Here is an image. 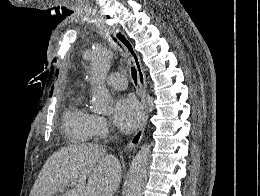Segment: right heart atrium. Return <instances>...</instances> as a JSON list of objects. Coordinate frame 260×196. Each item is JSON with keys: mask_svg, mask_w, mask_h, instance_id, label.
Wrapping results in <instances>:
<instances>
[{"mask_svg": "<svg viewBox=\"0 0 260 196\" xmlns=\"http://www.w3.org/2000/svg\"><path fill=\"white\" fill-rule=\"evenodd\" d=\"M94 129L106 130L108 125L106 120L103 117L95 116L93 120ZM133 163V162H132ZM62 192H83V190H61Z\"/></svg>", "mask_w": 260, "mask_h": 196, "instance_id": "1", "label": "right heart atrium"}]
</instances>
